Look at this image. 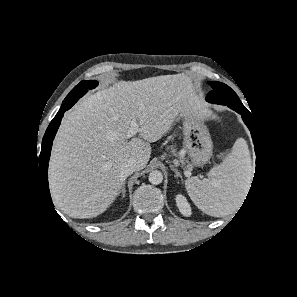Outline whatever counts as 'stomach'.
<instances>
[{"label": "stomach", "mask_w": 297, "mask_h": 297, "mask_svg": "<svg viewBox=\"0 0 297 297\" xmlns=\"http://www.w3.org/2000/svg\"><path fill=\"white\" fill-rule=\"evenodd\" d=\"M184 153L193 166H202L212 157L213 144L203 117L197 112L183 114Z\"/></svg>", "instance_id": "0dacf381"}]
</instances>
